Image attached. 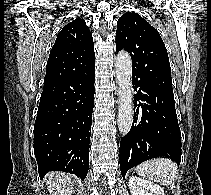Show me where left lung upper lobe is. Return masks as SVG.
Masks as SVG:
<instances>
[{
  "label": "left lung upper lobe",
  "instance_id": "obj_1",
  "mask_svg": "<svg viewBox=\"0 0 211 195\" xmlns=\"http://www.w3.org/2000/svg\"><path fill=\"white\" fill-rule=\"evenodd\" d=\"M132 58V74L174 99L168 53L158 31L138 13L126 12L117 23L116 51Z\"/></svg>",
  "mask_w": 211,
  "mask_h": 195
}]
</instances>
